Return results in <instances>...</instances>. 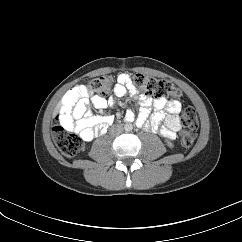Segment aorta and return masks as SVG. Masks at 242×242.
<instances>
[{"instance_id": "obj_1", "label": "aorta", "mask_w": 242, "mask_h": 242, "mask_svg": "<svg viewBox=\"0 0 242 242\" xmlns=\"http://www.w3.org/2000/svg\"><path fill=\"white\" fill-rule=\"evenodd\" d=\"M132 128H133V127H132L131 124H126V125H125V130H126V131H131Z\"/></svg>"}]
</instances>
